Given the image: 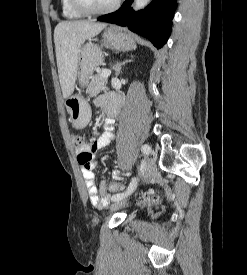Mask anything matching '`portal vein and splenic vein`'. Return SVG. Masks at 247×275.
<instances>
[{
	"mask_svg": "<svg viewBox=\"0 0 247 275\" xmlns=\"http://www.w3.org/2000/svg\"><path fill=\"white\" fill-rule=\"evenodd\" d=\"M100 74L102 77L108 78L111 75V71L107 69H103Z\"/></svg>",
	"mask_w": 247,
	"mask_h": 275,
	"instance_id": "1",
	"label": "portal vein and splenic vein"
}]
</instances>
